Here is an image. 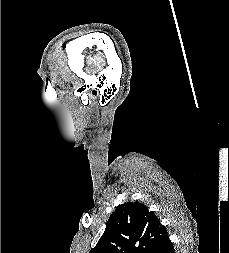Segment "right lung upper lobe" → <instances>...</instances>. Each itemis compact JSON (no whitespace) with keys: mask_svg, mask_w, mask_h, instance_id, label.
<instances>
[{"mask_svg":"<svg viewBox=\"0 0 229 253\" xmlns=\"http://www.w3.org/2000/svg\"><path fill=\"white\" fill-rule=\"evenodd\" d=\"M166 228L142 203L119 205L90 253H158L169 242Z\"/></svg>","mask_w":229,"mask_h":253,"instance_id":"cb5924a9","label":"right lung upper lobe"}]
</instances>
